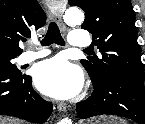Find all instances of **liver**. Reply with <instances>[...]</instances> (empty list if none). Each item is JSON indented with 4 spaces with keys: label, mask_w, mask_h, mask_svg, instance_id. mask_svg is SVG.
Wrapping results in <instances>:
<instances>
[{
    "label": "liver",
    "mask_w": 145,
    "mask_h": 124,
    "mask_svg": "<svg viewBox=\"0 0 145 124\" xmlns=\"http://www.w3.org/2000/svg\"><path fill=\"white\" fill-rule=\"evenodd\" d=\"M0 124H21L15 119L0 118Z\"/></svg>",
    "instance_id": "6515ba94"
}]
</instances>
